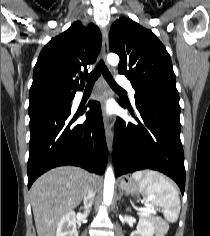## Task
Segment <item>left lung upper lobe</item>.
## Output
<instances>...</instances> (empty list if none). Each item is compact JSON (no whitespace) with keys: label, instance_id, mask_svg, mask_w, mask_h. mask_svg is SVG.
<instances>
[{"label":"left lung upper lobe","instance_id":"left-lung-upper-lobe-1","mask_svg":"<svg viewBox=\"0 0 210 236\" xmlns=\"http://www.w3.org/2000/svg\"><path fill=\"white\" fill-rule=\"evenodd\" d=\"M109 46L120 56L119 73L131 81L135 101L160 98L179 102L171 58L152 31L131 19H119L111 27Z\"/></svg>","mask_w":210,"mask_h":236}]
</instances>
